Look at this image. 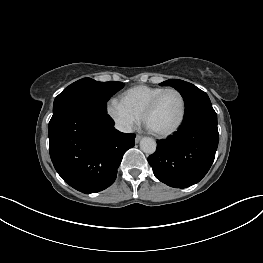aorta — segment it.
I'll use <instances>...</instances> for the list:
<instances>
[{
    "instance_id": "obj_1",
    "label": "aorta",
    "mask_w": 263,
    "mask_h": 263,
    "mask_svg": "<svg viewBox=\"0 0 263 263\" xmlns=\"http://www.w3.org/2000/svg\"><path fill=\"white\" fill-rule=\"evenodd\" d=\"M156 141L150 137H144L140 141V148L146 154H152L156 151Z\"/></svg>"
}]
</instances>
